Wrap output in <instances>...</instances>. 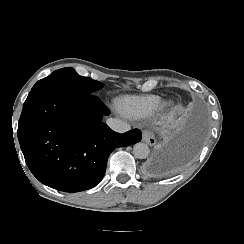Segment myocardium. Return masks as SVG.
Returning a JSON list of instances; mask_svg holds the SVG:
<instances>
[{
    "mask_svg": "<svg viewBox=\"0 0 244 244\" xmlns=\"http://www.w3.org/2000/svg\"><path fill=\"white\" fill-rule=\"evenodd\" d=\"M173 112V102L171 100H166L161 106L160 117L162 120H167L170 118Z\"/></svg>",
    "mask_w": 244,
    "mask_h": 244,
    "instance_id": "obj_1",
    "label": "myocardium"
}]
</instances>
